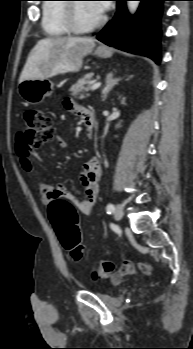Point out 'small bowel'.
<instances>
[{
	"instance_id": "obj_1",
	"label": "small bowel",
	"mask_w": 193,
	"mask_h": 349,
	"mask_svg": "<svg viewBox=\"0 0 193 349\" xmlns=\"http://www.w3.org/2000/svg\"><path fill=\"white\" fill-rule=\"evenodd\" d=\"M65 109L69 111H78L82 113L85 109L77 108L70 99L64 101ZM87 135L90 133L87 131ZM57 144L61 148H67V142L62 137L56 138ZM16 153L20 159L21 166L28 173L34 172V165L31 160L30 150L28 149L23 133H18L16 138ZM101 176V163L97 157L88 160L81 171L80 180L84 187L85 199L78 200L63 184L55 187L41 184L43 202L50 204L54 200L65 199L73 202L81 213L87 217L93 215L94 206L99 192V179ZM135 272L134 264L131 260L125 259L119 270L112 276L113 282H119L123 277L132 275Z\"/></svg>"
}]
</instances>
